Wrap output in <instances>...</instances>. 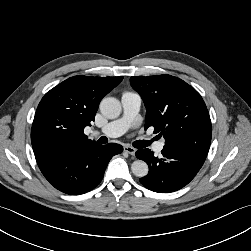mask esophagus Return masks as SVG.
I'll return each instance as SVG.
<instances>
[{
	"label": "esophagus",
	"instance_id": "esophagus-1",
	"mask_svg": "<svg viewBox=\"0 0 251 251\" xmlns=\"http://www.w3.org/2000/svg\"><path fill=\"white\" fill-rule=\"evenodd\" d=\"M124 152L134 156L135 155V152H136V149L133 148L132 146H129V145H125L124 146Z\"/></svg>",
	"mask_w": 251,
	"mask_h": 251
}]
</instances>
